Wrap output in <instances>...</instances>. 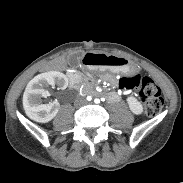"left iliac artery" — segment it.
<instances>
[{
  "label": "left iliac artery",
  "instance_id": "1",
  "mask_svg": "<svg viewBox=\"0 0 183 183\" xmlns=\"http://www.w3.org/2000/svg\"><path fill=\"white\" fill-rule=\"evenodd\" d=\"M94 102H95L96 104H99V103H100V100L96 98V99L94 100Z\"/></svg>",
  "mask_w": 183,
  "mask_h": 183
}]
</instances>
